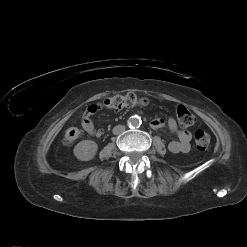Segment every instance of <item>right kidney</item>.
<instances>
[{"instance_id": "ca27d5eb", "label": "right kidney", "mask_w": 247, "mask_h": 247, "mask_svg": "<svg viewBox=\"0 0 247 247\" xmlns=\"http://www.w3.org/2000/svg\"><path fill=\"white\" fill-rule=\"evenodd\" d=\"M98 145L92 140H83L74 147V155L80 161H89L97 153Z\"/></svg>"}]
</instances>
